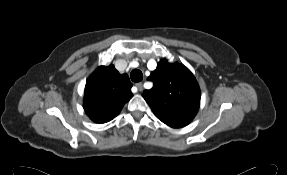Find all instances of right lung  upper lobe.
Instances as JSON below:
<instances>
[{
    "mask_svg": "<svg viewBox=\"0 0 287 175\" xmlns=\"http://www.w3.org/2000/svg\"><path fill=\"white\" fill-rule=\"evenodd\" d=\"M127 74H120L113 65L98 67L87 79L84 110L96 123L115 118L133 94Z\"/></svg>",
    "mask_w": 287,
    "mask_h": 175,
    "instance_id": "1",
    "label": "right lung upper lobe"
}]
</instances>
